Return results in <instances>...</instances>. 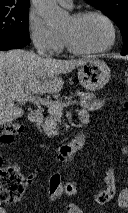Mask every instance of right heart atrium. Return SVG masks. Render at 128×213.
<instances>
[{
    "instance_id": "right-heart-atrium-1",
    "label": "right heart atrium",
    "mask_w": 128,
    "mask_h": 213,
    "mask_svg": "<svg viewBox=\"0 0 128 213\" xmlns=\"http://www.w3.org/2000/svg\"><path fill=\"white\" fill-rule=\"evenodd\" d=\"M28 26L34 45L42 50L57 52L62 47L61 34L52 30L34 10L28 14Z\"/></svg>"
}]
</instances>
